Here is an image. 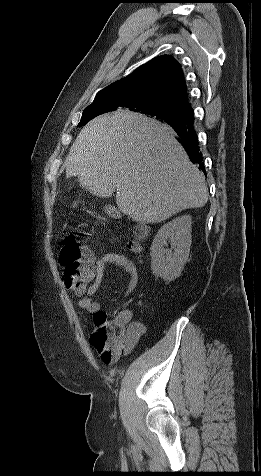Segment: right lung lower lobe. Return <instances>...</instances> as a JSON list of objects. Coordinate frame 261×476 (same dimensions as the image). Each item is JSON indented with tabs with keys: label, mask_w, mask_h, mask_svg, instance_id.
I'll use <instances>...</instances> for the list:
<instances>
[{
	"label": "right lung lower lobe",
	"mask_w": 261,
	"mask_h": 476,
	"mask_svg": "<svg viewBox=\"0 0 261 476\" xmlns=\"http://www.w3.org/2000/svg\"><path fill=\"white\" fill-rule=\"evenodd\" d=\"M176 132L178 139L185 151L188 153L190 160L194 164H198L200 169L206 173L203 165V157L199 150L197 134L194 130V114L193 110L185 112L184 117L179 121L169 123Z\"/></svg>",
	"instance_id": "obj_1"
}]
</instances>
